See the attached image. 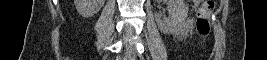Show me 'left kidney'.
<instances>
[{"label":"left kidney","mask_w":267,"mask_h":60,"mask_svg":"<svg viewBox=\"0 0 267 60\" xmlns=\"http://www.w3.org/2000/svg\"><path fill=\"white\" fill-rule=\"evenodd\" d=\"M168 17H161V15H155V19L160 31L172 34L178 32V30L184 24L188 15V6L183 0H168Z\"/></svg>","instance_id":"left-kidney-1"}]
</instances>
